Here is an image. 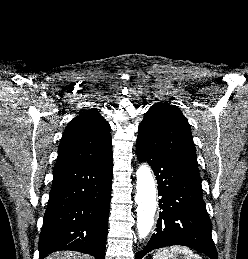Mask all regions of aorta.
<instances>
[{
  "instance_id": "obj_1",
  "label": "aorta",
  "mask_w": 248,
  "mask_h": 259,
  "mask_svg": "<svg viewBox=\"0 0 248 259\" xmlns=\"http://www.w3.org/2000/svg\"><path fill=\"white\" fill-rule=\"evenodd\" d=\"M137 232L145 239L153 225L157 211V187L150 167L143 163L137 170Z\"/></svg>"
}]
</instances>
